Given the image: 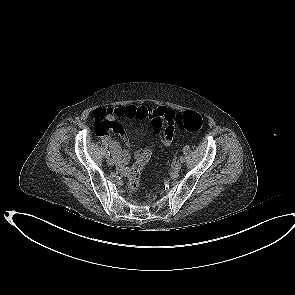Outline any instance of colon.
Listing matches in <instances>:
<instances>
[{"label": "colon", "instance_id": "1", "mask_svg": "<svg viewBox=\"0 0 295 295\" xmlns=\"http://www.w3.org/2000/svg\"><path fill=\"white\" fill-rule=\"evenodd\" d=\"M101 118L102 116L99 118V125ZM204 124L203 117L195 111H185L182 114L168 112L165 128L168 131L179 129L189 132H199L203 129ZM152 151V145H146L145 149H138L136 151V161L128 171L127 185L131 192H136L139 189L141 173L147 165Z\"/></svg>", "mask_w": 295, "mask_h": 295}]
</instances>
